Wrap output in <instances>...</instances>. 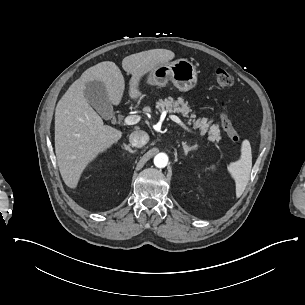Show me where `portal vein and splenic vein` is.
Segmentation results:
<instances>
[{"label":"portal vein and splenic vein","instance_id":"1","mask_svg":"<svg viewBox=\"0 0 305 305\" xmlns=\"http://www.w3.org/2000/svg\"><path fill=\"white\" fill-rule=\"evenodd\" d=\"M165 115H166V112H165ZM165 115L163 116V119L165 118ZM169 117L172 121L180 124L184 129H187V127L184 125V123L180 120L179 117H177L176 115H170ZM139 121H140V116H138V115H129L124 120V122L127 125H134V124H137Z\"/></svg>","mask_w":305,"mask_h":305}]
</instances>
